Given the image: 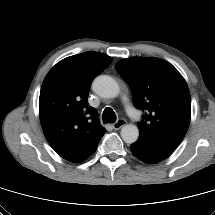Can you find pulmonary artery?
<instances>
[{"label": "pulmonary artery", "instance_id": "obj_1", "mask_svg": "<svg viewBox=\"0 0 215 215\" xmlns=\"http://www.w3.org/2000/svg\"><path fill=\"white\" fill-rule=\"evenodd\" d=\"M127 111L130 115H133V116L136 115L135 110L129 104H127Z\"/></svg>", "mask_w": 215, "mask_h": 215}]
</instances>
